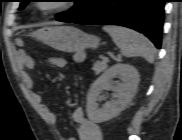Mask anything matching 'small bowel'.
I'll return each mask as SVG.
<instances>
[{
	"label": "small bowel",
	"instance_id": "1",
	"mask_svg": "<svg viewBox=\"0 0 182 140\" xmlns=\"http://www.w3.org/2000/svg\"><path fill=\"white\" fill-rule=\"evenodd\" d=\"M16 62L19 69L22 71L24 83L27 88H33L34 79L28 73L29 70L34 69L35 60L27 55L24 51L20 50L16 53ZM47 62L50 65L63 68L66 66L67 61L63 57H49ZM32 98L36 104L39 105L40 111L44 116L47 123L53 125L56 123V114L51 110L50 106L43 102L42 96L39 93H33ZM72 119L76 127L77 138L79 140H102V132L99 125L88 119L81 106H77L73 113ZM71 140H76L72 138Z\"/></svg>",
	"mask_w": 182,
	"mask_h": 140
}]
</instances>
